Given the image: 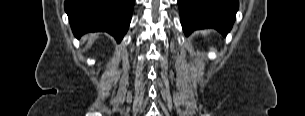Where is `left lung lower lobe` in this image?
<instances>
[{
  "mask_svg": "<svg viewBox=\"0 0 305 116\" xmlns=\"http://www.w3.org/2000/svg\"><path fill=\"white\" fill-rule=\"evenodd\" d=\"M181 24L186 35L202 28H214L223 36L231 30L238 0H178Z\"/></svg>",
  "mask_w": 305,
  "mask_h": 116,
  "instance_id": "1",
  "label": "left lung lower lobe"
}]
</instances>
